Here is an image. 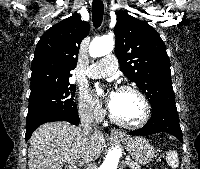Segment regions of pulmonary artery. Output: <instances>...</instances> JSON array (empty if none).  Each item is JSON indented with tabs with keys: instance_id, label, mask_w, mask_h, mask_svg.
<instances>
[{
	"instance_id": "obj_1",
	"label": "pulmonary artery",
	"mask_w": 200,
	"mask_h": 169,
	"mask_svg": "<svg viewBox=\"0 0 200 169\" xmlns=\"http://www.w3.org/2000/svg\"><path fill=\"white\" fill-rule=\"evenodd\" d=\"M118 68V61L114 55H107L92 64L86 71L89 78H103L111 76Z\"/></svg>"
}]
</instances>
